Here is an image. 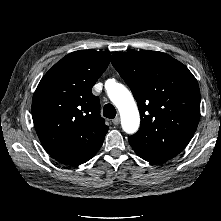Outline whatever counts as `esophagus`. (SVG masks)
Segmentation results:
<instances>
[{
  "mask_svg": "<svg viewBox=\"0 0 221 221\" xmlns=\"http://www.w3.org/2000/svg\"><path fill=\"white\" fill-rule=\"evenodd\" d=\"M113 124L114 125H118L120 123V118L119 117H116L112 120Z\"/></svg>",
  "mask_w": 221,
  "mask_h": 221,
  "instance_id": "1",
  "label": "esophagus"
}]
</instances>
